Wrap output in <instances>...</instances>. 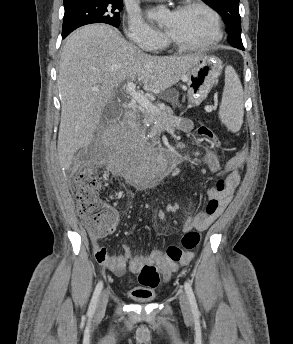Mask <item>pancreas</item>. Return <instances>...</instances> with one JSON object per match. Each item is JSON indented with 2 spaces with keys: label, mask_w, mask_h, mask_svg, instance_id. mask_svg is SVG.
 I'll return each instance as SVG.
<instances>
[{
  "label": "pancreas",
  "mask_w": 293,
  "mask_h": 344,
  "mask_svg": "<svg viewBox=\"0 0 293 344\" xmlns=\"http://www.w3.org/2000/svg\"><path fill=\"white\" fill-rule=\"evenodd\" d=\"M160 115H152L151 113L144 112L142 114V125L140 122L136 123L131 130L122 129L119 131L121 138H125L131 132H139L144 134L149 128L154 132L153 139L156 140L158 135L167 124H174L176 117L173 116L172 110L169 107L159 109ZM149 125L150 127H147ZM177 128H181L180 123L176 124Z\"/></svg>",
  "instance_id": "obj_1"
}]
</instances>
